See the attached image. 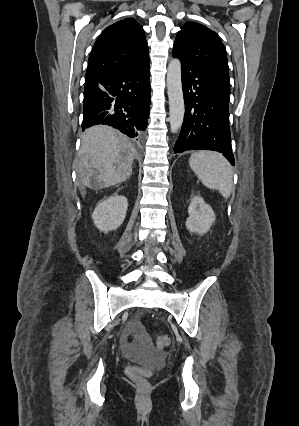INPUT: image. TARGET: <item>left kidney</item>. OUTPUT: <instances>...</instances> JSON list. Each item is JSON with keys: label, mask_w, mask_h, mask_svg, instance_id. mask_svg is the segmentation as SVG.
<instances>
[{"label": "left kidney", "mask_w": 299, "mask_h": 426, "mask_svg": "<svg viewBox=\"0 0 299 426\" xmlns=\"http://www.w3.org/2000/svg\"><path fill=\"white\" fill-rule=\"evenodd\" d=\"M188 214L186 227L193 233L202 235L208 232L211 225L215 222L213 209L200 196L192 198L188 207Z\"/></svg>", "instance_id": "obj_1"}]
</instances>
